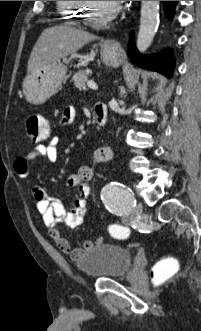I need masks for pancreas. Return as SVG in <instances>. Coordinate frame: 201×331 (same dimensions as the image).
Listing matches in <instances>:
<instances>
[{
  "instance_id": "1",
  "label": "pancreas",
  "mask_w": 201,
  "mask_h": 331,
  "mask_svg": "<svg viewBox=\"0 0 201 331\" xmlns=\"http://www.w3.org/2000/svg\"><path fill=\"white\" fill-rule=\"evenodd\" d=\"M90 73V70H80L77 72L72 78L75 86L79 89H84L86 82H88V76Z\"/></svg>"
}]
</instances>
